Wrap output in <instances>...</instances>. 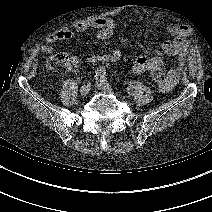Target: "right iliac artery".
Segmentation results:
<instances>
[{"instance_id": "right-iliac-artery-1", "label": "right iliac artery", "mask_w": 212, "mask_h": 212, "mask_svg": "<svg viewBox=\"0 0 212 212\" xmlns=\"http://www.w3.org/2000/svg\"><path fill=\"white\" fill-rule=\"evenodd\" d=\"M105 74H106V70H105V68H103V67H99L96 71H95V77L96 78H98V77H103V76H105Z\"/></svg>"}]
</instances>
